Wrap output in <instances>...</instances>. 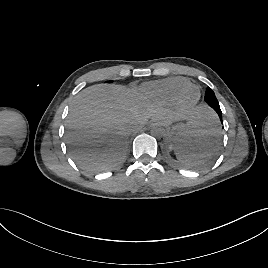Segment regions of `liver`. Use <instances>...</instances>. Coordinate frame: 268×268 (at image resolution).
Wrapping results in <instances>:
<instances>
[{
	"label": "liver",
	"mask_w": 268,
	"mask_h": 268,
	"mask_svg": "<svg viewBox=\"0 0 268 268\" xmlns=\"http://www.w3.org/2000/svg\"><path fill=\"white\" fill-rule=\"evenodd\" d=\"M210 110L199 106L191 114L192 124ZM149 119L166 125L177 120L173 111L140 99L121 85L96 84L78 93L66 118V141L77 163L90 170L111 167L120 157L132 129Z\"/></svg>",
	"instance_id": "obj_1"
}]
</instances>
